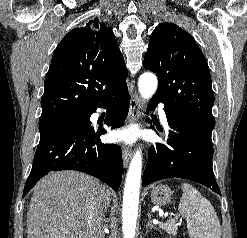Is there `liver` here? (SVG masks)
Listing matches in <instances>:
<instances>
[{
	"label": "liver",
	"mask_w": 247,
	"mask_h": 238,
	"mask_svg": "<svg viewBox=\"0 0 247 238\" xmlns=\"http://www.w3.org/2000/svg\"><path fill=\"white\" fill-rule=\"evenodd\" d=\"M99 192L108 206L111 191L97 179L77 171L49 173L34 187L27 238H90L87 210Z\"/></svg>",
	"instance_id": "liver-1"
}]
</instances>
